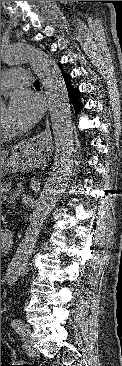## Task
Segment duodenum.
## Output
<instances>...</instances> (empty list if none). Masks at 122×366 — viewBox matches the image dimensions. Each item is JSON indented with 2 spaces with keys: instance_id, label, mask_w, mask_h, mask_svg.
<instances>
[{
  "instance_id": "1",
  "label": "duodenum",
  "mask_w": 122,
  "mask_h": 366,
  "mask_svg": "<svg viewBox=\"0 0 122 366\" xmlns=\"http://www.w3.org/2000/svg\"><path fill=\"white\" fill-rule=\"evenodd\" d=\"M12 243V236L10 233H1V249H7Z\"/></svg>"
}]
</instances>
